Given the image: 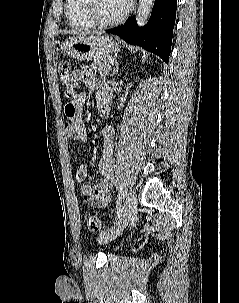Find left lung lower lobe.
<instances>
[{
    "label": "left lung lower lobe",
    "instance_id": "1",
    "mask_svg": "<svg viewBox=\"0 0 239 303\" xmlns=\"http://www.w3.org/2000/svg\"><path fill=\"white\" fill-rule=\"evenodd\" d=\"M177 0H155L148 23L139 28L135 17L106 32L118 35L127 43L157 54L166 63L171 51Z\"/></svg>",
    "mask_w": 239,
    "mask_h": 303
}]
</instances>
